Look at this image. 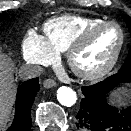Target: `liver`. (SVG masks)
<instances>
[{
	"label": "liver",
	"mask_w": 131,
	"mask_h": 131,
	"mask_svg": "<svg viewBox=\"0 0 131 131\" xmlns=\"http://www.w3.org/2000/svg\"><path fill=\"white\" fill-rule=\"evenodd\" d=\"M16 85L13 77V65L0 52V128L6 124L15 97Z\"/></svg>",
	"instance_id": "liver-1"
}]
</instances>
